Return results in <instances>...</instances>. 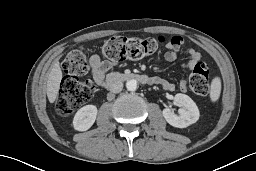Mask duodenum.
Instances as JSON below:
<instances>
[{
	"label": "duodenum",
	"mask_w": 256,
	"mask_h": 171,
	"mask_svg": "<svg viewBox=\"0 0 256 171\" xmlns=\"http://www.w3.org/2000/svg\"><path fill=\"white\" fill-rule=\"evenodd\" d=\"M130 80L138 81L142 84H149L153 80L146 75L137 73H111L104 81L105 86H109L115 82H126Z\"/></svg>",
	"instance_id": "1"
}]
</instances>
